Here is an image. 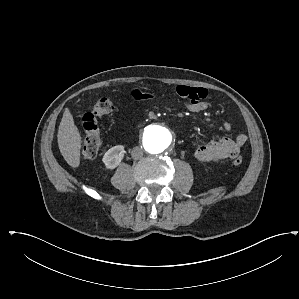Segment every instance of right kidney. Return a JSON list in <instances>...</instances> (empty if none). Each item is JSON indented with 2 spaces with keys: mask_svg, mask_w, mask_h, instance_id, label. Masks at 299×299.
I'll return each mask as SVG.
<instances>
[{
  "mask_svg": "<svg viewBox=\"0 0 299 299\" xmlns=\"http://www.w3.org/2000/svg\"><path fill=\"white\" fill-rule=\"evenodd\" d=\"M124 147L122 145H117L110 148L103 156V163L105 164L107 169H114L116 168L121 160L124 157Z\"/></svg>",
  "mask_w": 299,
  "mask_h": 299,
  "instance_id": "obj_1",
  "label": "right kidney"
}]
</instances>
